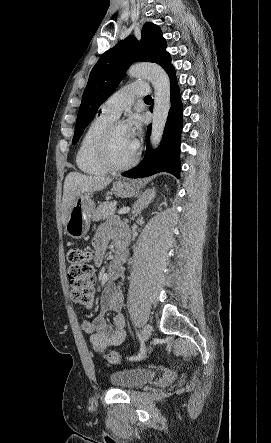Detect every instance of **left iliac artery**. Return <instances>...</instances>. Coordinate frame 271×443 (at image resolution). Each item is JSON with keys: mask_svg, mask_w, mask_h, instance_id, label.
Listing matches in <instances>:
<instances>
[{"mask_svg": "<svg viewBox=\"0 0 271 443\" xmlns=\"http://www.w3.org/2000/svg\"><path fill=\"white\" fill-rule=\"evenodd\" d=\"M136 334H137V336H138V338H139V340L141 342V346H140V351H139V353L137 355L131 356V357L127 358V359H129L131 361H133V360L134 361L141 360L142 358L145 357V352H146V347H145L144 341L142 340V337H141V335L139 334V332L137 330H136Z\"/></svg>", "mask_w": 271, "mask_h": 443, "instance_id": "left-iliac-artery-1", "label": "left iliac artery"}]
</instances>
